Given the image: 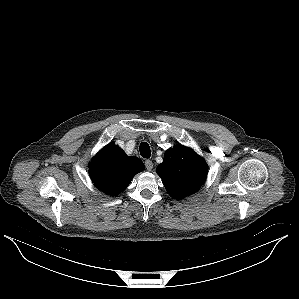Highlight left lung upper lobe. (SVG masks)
<instances>
[{
	"label": "left lung upper lobe",
	"instance_id": "obj_1",
	"mask_svg": "<svg viewBox=\"0 0 299 299\" xmlns=\"http://www.w3.org/2000/svg\"><path fill=\"white\" fill-rule=\"evenodd\" d=\"M208 166L192 149L177 145L165 152L157 167L167 192L175 199H183L199 190L207 177Z\"/></svg>",
	"mask_w": 299,
	"mask_h": 299
}]
</instances>
